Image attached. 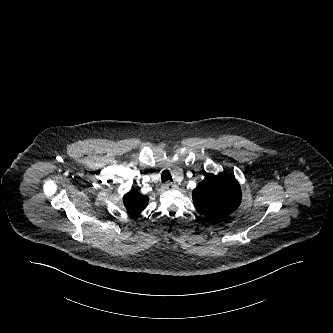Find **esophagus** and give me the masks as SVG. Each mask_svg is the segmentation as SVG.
<instances>
[{
    "label": "esophagus",
    "mask_w": 333,
    "mask_h": 333,
    "mask_svg": "<svg viewBox=\"0 0 333 333\" xmlns=\"http://www.w3.org/2000/svg\"><path fill=\"white\" fill-rule=\"evenodd\" d=\"M176 188H177V185L175 183H172V182H167L164 185V189H166V190H174Z\"/></svg>",
    "instance_id": "1"
}]
</instances>
